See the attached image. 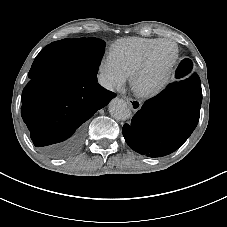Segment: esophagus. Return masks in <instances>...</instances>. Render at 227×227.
<instances>
[{"mask_svg": "<svg viewBox=\"0 0 227 227\" xmlns=\"http://www.w3.org/2000/svg\"><path fill=\"white\" fill-rule=\"evenodd\" d=\"M124 99H126V101L128 102L129 106L131 107V109L136 112L141 108V102L137 99H132L126 96H123Z\"/></svg>", "mask_w": 227, "mask_h": 227, "instance_id": "34e87169", "label": "esophagus"}]
</instances>
